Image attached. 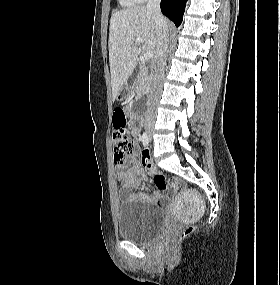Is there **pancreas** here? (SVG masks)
Wrapping results in <instances>:
<instances>
[{
	"mask_svg": "<svg viewBox=\"0 0 280 285\" xmlns=\"http://www.w3.org/2000/svg\"><path fill=\"white\" fill-rule=\"evenodd\" d=\"M152 82V74L148 71L145 65H142L141 71L136 81V93L145 94L149 90Z\"/></svg>",
	"mask_w": 280,
	"mask_h": 285,
	"instance_id": "pancreas-1",
	"label": "pancreas"
}]
</instances>
